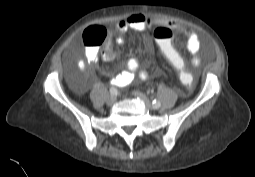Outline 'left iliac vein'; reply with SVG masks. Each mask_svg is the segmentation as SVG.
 Instances as JSON below:
<instances>
[{"label":"left iliac vein","mask_w":255,"mask_h":177,"mask_svg":"<svg viewBox=\"0 0 255 177\" xmlns=\"http://www.w3.org/2000/svg\"><path fill=\"white\" fill-rule=\"evenodd\" d=\"M133 94L138 97V98H141L142 100H144V102L146 103L147 107L150 108V109H156L152 104L151 102L149 101V99L142 93L140 92H133Z\"/></svg>","instance_id":"obj_1"}]
</instances>
